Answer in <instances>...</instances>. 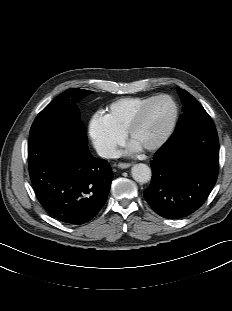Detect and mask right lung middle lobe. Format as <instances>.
I'll use <instances>...</instances> for the list:
<instances>
[{"mask_svg":"<svg viewBox=\"0 0 232 311\" xmlns=\"http://www.w3.org/2000/svg\"><path fill=\"white\" fill-rule=\"evenodd\" d=\"M92 93V91L71 88L61 93L50 102L34 120L29 137L58 129L74 132L87 141L85 126L80 119L76 101Z\"/></svg>","mask_w":232,"mask_h":311,"instance_id":"obj_1","label":"right lung middle lobe"}]
</instances>
